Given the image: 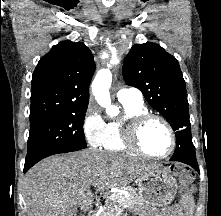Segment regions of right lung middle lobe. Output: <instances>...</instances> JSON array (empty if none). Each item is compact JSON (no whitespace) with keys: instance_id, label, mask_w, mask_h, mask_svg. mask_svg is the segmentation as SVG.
Listing matches in <instances>:
<instances>
[{"instance_id":"dd1d6c3e","label":"right lung middle lobe","mask_w":221,"mask_h":216,"mask_svg":"<svg viewBox=\"0 0 221 216\" xmlns=\"http://www.w3.org/2000/svg\"><path fill=\"white\" fill-rule=\"evenodd\" d=\"M86 110L87 107L76 108L30 120L25 165L50 155L86 148L83 131Z\"/></svg>"}]
</instances>
